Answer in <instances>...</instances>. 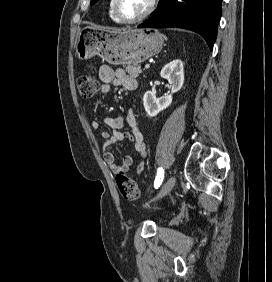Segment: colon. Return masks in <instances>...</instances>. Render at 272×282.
I'll use <instances>...</instances> for the list:
<instances>
[{
    "mask_svg": "<svg viewBox=\"0 0 272 282\" xmlns=\"http://www.w3.org/2000/svg\"><path fill=\"white\" fill-rule=\"evenodd\" d=\"M78 92L82 99L90 100L101 90L102 85L95 75V69L90 67L81 74L77 81ZM116 184L120 195L127 201H137L140 197L136 182L125 171L119 170L116 174Z\"/></svg>",
    "mask_w": 272,
    "mask_h": 282,
    "instance_id": "1",
    "label": "colon"
}]
</instances>
